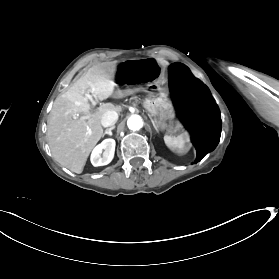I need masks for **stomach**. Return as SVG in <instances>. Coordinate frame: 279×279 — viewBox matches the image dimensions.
Instances as JSON below:
<instances>
[{
  "label": "stomach",
  "mask_w": 279,
  "mask_h": 279,
  "mask_svg": "<svg viewBox=\"0 0 279 279\" xmlns=\"http://www.w3.org/2000/svg\"><path fill=\"white\" fill-rule=\"evenodd\" d=\"M147 111L152 116L156 128H161L166 133H173L180 126V119L168 99L155 96L150 99Z\"/></svg>",
  "instance_id": "stomach-1"
}]
</instances>
